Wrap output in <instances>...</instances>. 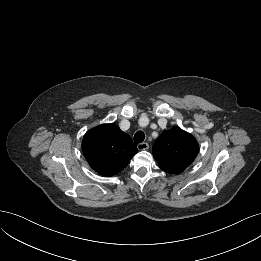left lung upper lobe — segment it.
Wrapping results in <instances>:
<instances>
[{"instance_id": "obj_1", "label": "left lung upper lobe", "mask_w": 261, "mask_h": 261, "mask_svg": "<svg viewBox=\"0 0 261 261\" xmlns=\"http://www.w3.org/2000/svg\"><path fill=\"white\" fill-rule=\"evenodd\" d=\"M152 151L163 171L178 174L194 161L199 146L190 133L179 127H173L162 132L155 141Z\"/></svg>"}]
</instances>
